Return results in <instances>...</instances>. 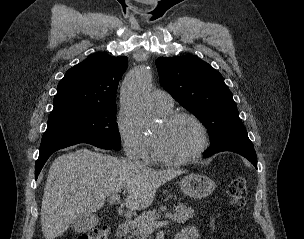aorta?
I'll return each mask as SVG.
<instances>
[{"label":"aorta","instance_id":"obj_1","mask_svg":"<svg viewBox=\"0 0 304 239\" xmlns=\"http://www.w3.org/2000/svg\"><path fill=\"white\" fill-rule=\"evenodd\" d=\"M151 87L149 70L142 66L132 71L121 87V103L131 111L134 119L141 125L151 120V107L148 101V91Z\"/></svg>","mask_w":304,"mask_h":239}]
</instances>
